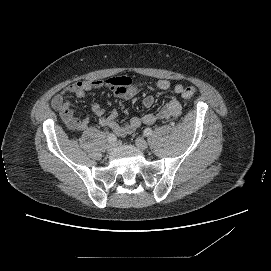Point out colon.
I'll return each mask as SVG.
<instances>
[{
    "label": "colon",
    "instance_id": "5ec220e1",
    "mask_svg": "<svg viewBox=\"0 0 271 271\" xmlns=\"http://www.w3.org/2000/svg\"><path fill=\"white\" fill-rule=\"evenodd\" d=\"M196 93H197L196 88H194V87H187V88H185L183 90L182 96H183V98L188 99V98L193 97Z\"/></svg>",
    "mask_w": 271,
    "mask_h": 271
}]
</instances>
